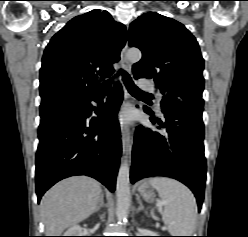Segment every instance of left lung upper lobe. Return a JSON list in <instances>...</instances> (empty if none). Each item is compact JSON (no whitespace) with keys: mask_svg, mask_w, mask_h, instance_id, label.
I'll return each mask as SVG.
<instances>
[{"mask_svg":"<svg viewBox=\"0 0 248 237\" xmlns=\"http://www.w3.org/2000/svg\"><path fill=\"white\" fill-rule=\"evenodd\" d=\"M129 46L142 51V59L133 65L135 79L155 81L164 95L162 110L187 103L203 106L204 60L195 37L172 18L149 12L133 21Z\"/></svg>","mask_w":248,"mask_h":237,"instance_id":"1","label":"left lung upper lobe"}]
</instances>
